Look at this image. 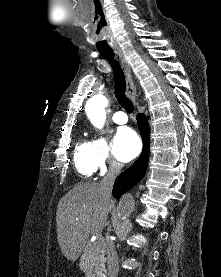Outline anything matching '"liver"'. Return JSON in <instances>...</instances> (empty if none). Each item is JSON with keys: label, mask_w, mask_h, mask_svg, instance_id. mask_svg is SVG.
I'll return each mask as SVG.
<instances>
[{"label": "liver", "mask_w": 221, "mask_h": 277, "mask_svg": "<svg viewBox=\"0 0 221 277\" xmlns=\"http://www.w3.org/2000/svg\"><path fill=\"white\" fill-rule=\"evenodd\" d=\"M112 208L98 183L75 186L59 201L56 212L57 239L64 256L75 261L80 256L90 233L106 226Z\"/></svg>", "instance_id": "obj_1"}]
</instances>
